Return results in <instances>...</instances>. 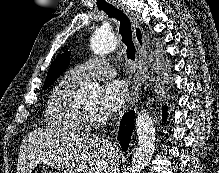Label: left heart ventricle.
<instances>
[{"label": "left heart ventricle", "mask_w": 219, "mask_h": 173, "mask_svg": "<svg viewBox=\"0 0 219 173\" xmlns=\"http://www.w3.org/2000/svg\"><path fill=\"white\" fill-rule=\"evenodd\" d=\"M95 105L94 104H90V105H83V109L87 110V111H93L94 110Z\"/></svg>", "instance_id": "1"}]
</instances>
